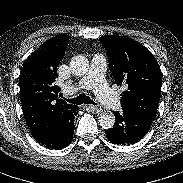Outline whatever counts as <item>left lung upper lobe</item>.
<instances>
[{
	"mask_svg": "<svg viewBox=\"0 0 183 183\" xmlns=\"http://www.w3.org/2000/svg\"><path fill=\"white\" fill-rule=\"evenodd\" d=\"M108 52L109 67L119 86L126 84L121 94L122 109L154 120L160 94L161 71L152 53L126 36L104 35L100 38Z\"/></svg>",
	"mask_w": 183,
	"mask_h": 183,
	"instance_id": "left-lung-upper-lobe-1",
	"label": "left lung upper lobe"
}]
</instances>
